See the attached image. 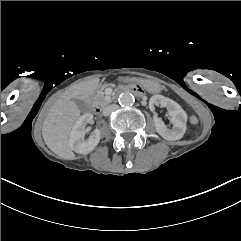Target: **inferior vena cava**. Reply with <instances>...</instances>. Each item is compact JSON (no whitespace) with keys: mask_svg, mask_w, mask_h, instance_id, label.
<instances>
[{"mask_svg":"<svg viewBox=\"0 0 241 241\" xmlns=\"http://www.w3.org/2000/svg\"><path fill=\"white\" fill-rule=\"evenodd\" d=\"M118 105L111 104L103 109V115L109 116L112 112L116 111L118 109Z\"/></svg>","mask_w":241,"mask_h":241,"instance_id":"inferior-vena-cava-1","label":"inferior vena cava"}]
</instances>
